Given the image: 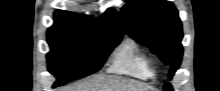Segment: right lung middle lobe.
Listing matches in <instances>:
<instances>
[{"mask_svg":"<svg viewBox=\"0 0 220 91\" xmlns=\"http://www.w3.org/2000/svg\"><path fill=\"white\" fill-rule=\"evenodd\" d=\"M114 31H94L83 27L49 28L48 70L57 77L53 87L98 71L121 41Z\"/></svg>","mask_w":220,"mask_h":91,"instance_id":"dd1d6c3e","label":"right lung middle lobe"}]
</instances>
